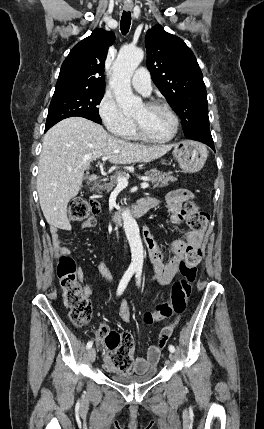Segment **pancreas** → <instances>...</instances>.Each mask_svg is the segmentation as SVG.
Here are the masks:
<instances>
[{"label": "pancreas", "mask_w": 264, "mask_h": 429, "mask_svg": "<svg viewBox=\"0 0 264 429\" xmlns=\"http://www.w3.org/2000/svg\"><path fill=\"white\" fill-rule=\"evenodd\" d=\"M148 177V181L152 183L153 188L156 187H165L168 185V182H175L177 180L176 177L172 175V172H155L148 171L145 173ZM118 176L129 177V175L123 171H118L114 175L109 178H103L99 182L95 183L92 190L96 192L107 191L110 192L114 189L116 184L118 183Z\"/></svg>", "instance_id": "pancreas-1"}]
</instances>
